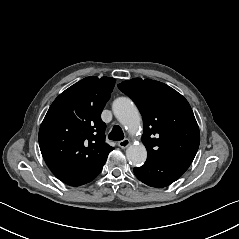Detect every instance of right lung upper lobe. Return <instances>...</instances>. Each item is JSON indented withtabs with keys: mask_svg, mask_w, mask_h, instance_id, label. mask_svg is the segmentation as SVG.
<instances>
[{
	"mask_svg": "<svg viewBox=\"0 0 239 239\" xmlns=\"http://www.w3.org/2000/svg\"><path fill=\"white\" fill-rule=\"evenodd\" d=\"M115 79L86 77L62 92L39 130V146L51 171L90 170L114 149L105 143L101 112Z\"/></svg>",
	"mask_w": 239,
	"mask_h": 239,
	"instance_id": "obj_1",
	"label": "right lung upper lobe"
}]
</instances>
